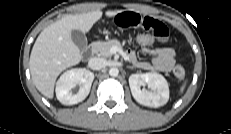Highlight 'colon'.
Here are the masks:
<instances>
[{"mask_svg": "<svg viewBox=\"0 0 231 134\" xmlns=\"http://www.w3.org/2000/svg\"><path fill=\"white\" fill-rule=\"evenodd\" d=\"M130 40L142 48L151 47L156 42V38L149 33L131 34ZM173 72L178 79L185 77V69L181 65H175Z\"/></svg>", "mask_w": 231, "mask_h": 134, "instance_id": "1", "label": "colon"}]
</instances>
